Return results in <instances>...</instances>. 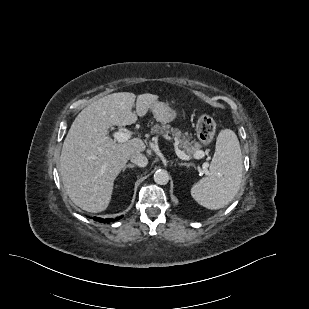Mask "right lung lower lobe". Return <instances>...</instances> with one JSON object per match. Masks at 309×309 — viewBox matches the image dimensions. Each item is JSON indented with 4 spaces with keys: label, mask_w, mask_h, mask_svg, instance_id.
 Returning <instances> with one entry per match:
<instances>
[{
    "label": "right lung lower lobe",
    "mask_w": 309,
    "mask_h": 309,
    "mask_svg": "<svg viewBox=\"0 0 309 309\" xmlns=\"http://www.w3.org/2000/svg\"><path fill=\"white\" fill-rule=\"evenodd\" d=\"M120 218H121V216H120V217H117L116 219H102V218H97V217H94L93 219H94L95 221H99V222H103V223H109V222L117 221V220H119Z\"/></svg>",
    "instance_id": "obj_1"
}]
</instances>
